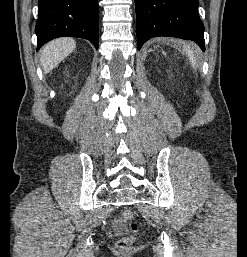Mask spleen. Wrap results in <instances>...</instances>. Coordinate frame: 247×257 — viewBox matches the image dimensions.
Returning a JSON list of instances; mask_svg holds the SVG:
<instances>
[{"label": "spleen", "mask_w": 247, "mask_h": 257, "mask_svg": "<svg viewBox=\"0 0 247 257\" xmlns=\"http://www.w3.org/2000/svg\"><path fill=\"white\" fill-rule=\"evenodd\" d=\"M184 51L186 52V55L189 57L192 66L196 68L197 61L194 55V51L191 49L189 45H184Z\"/></svg>", "instance_id": "spleen-1"}]
</instances>
